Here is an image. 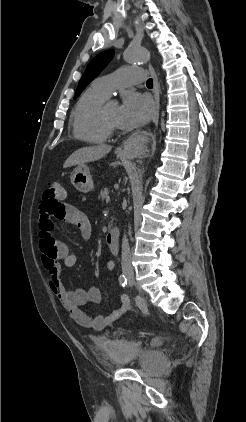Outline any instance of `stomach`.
<instances>
[{
	"label": "stomach",
	"mask_w": 246,
	"mask_h": 422,
	"mask_svg": "<svg viewBox=\"0 0 246 422\" xmlns=\"http://www.w3.org/2000/svg\"><path fill=\"white\" fill-rule=\"evenodd\" d=\"M72 185L79 191L87 193L94 187L90 170L86 165H80L73 170L70 176Z\"/></svg>",
	"instance_id": "obj_1"
}]
</instances>
